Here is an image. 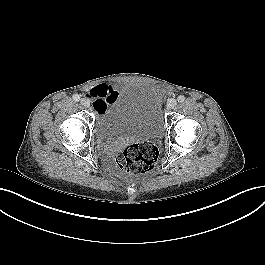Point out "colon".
<instances>
[{
  "mask_svg": "<svg viewBox=\"0 0 265 265\" xmlns=\"http://www.w3.org/2000/svg\"><path fill=\"white\" fill-rule=\"evenodd\" d=\"M159 158L158 148L149 142L124 146L116 155L118 168L126 174L140 175L151 172Z\"/></svg>",
  "mask_w": 265,
  "mask_h": 265,
  "instance_id": "5ec220e1",
  "label": "colon"
}]
</instances>
